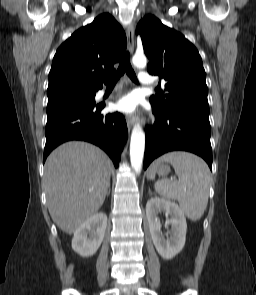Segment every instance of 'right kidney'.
Wrapping results in <instances>:
<instances>
[{
  "label": "right kidney",
  "mask_w": 256,
  "mask_h": 295,
  "mask_svg": "<svg viewBox=\"0 0 256 295\" xmlns=\"http://www.w3.org/2000/svg\"><path fill=\"white\" fill-rule=\"evenodd\" d=\"M107 226V216L96 213L84 221L74 232L72 249L83 257L92 256L100 247Z\"/></svg>",
  "instance_id": "obj_1"
}]
</instances>
